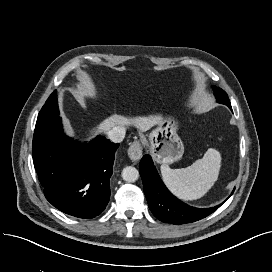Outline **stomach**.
<instances>
[{
	"label": "stomach",
	"mask_w": 272,
	"mask_h": 272,
	"mask_svg": "<svg viewBox=\"0 0 272 272\" xmlns=\"http://www.w3.org/2000/svg\"><path fill=\"white\" fill-rule=\"evenodd\" d=\"M177 131L178 122L165 117L148 135L152 156L158 163L168 165L182 158L184 145Z\"/></svg>",
	"instance_id": "1"
}]
</instances>
